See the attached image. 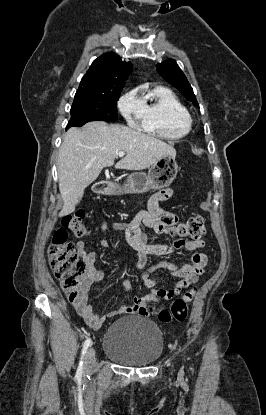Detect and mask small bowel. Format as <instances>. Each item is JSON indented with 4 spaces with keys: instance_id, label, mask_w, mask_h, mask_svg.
<instances>
[{
    "instance_id": "small-bowel-1",
    "label": "small bowel",
    "mask_w": 266,
    "mask_h": 415,
    "mask_svg": "<svg viewBox=\"0 0 266 415\" xmlns=\"http://www.w3.org/2000/svg\"><path fill=\"white\" fill-rule=\"evenodd\" d=\"M172 195L173 189L170 188L158 191L149 198L147 210L139 211L130 223L121 222L111 225L115 230H124L129 244L136 250V271L138 272L146 265L148 256L150 255L164 256L172 253L174 250L180 249L195 251L205 246V242L201 239H180L173 242L172 245L149 244L147 242L145 234L140 229L141 224L153 229L157 233H167L177 223L178 217L175 214L165 211L160 207V202L168 200ZM106 228L107 224L104 223L98 231L102 233ZM109 245V241L106 238L100 240L101 247L108 248ZM76 249L86 264V272L80 283L79 295L71 304L84 322L94 330L99 329L107 319L124 314L146 315L143 312V308L148 303H158L173 299L183 289L198 281L199 276L205 272L208 262L207 256L204 253H195L191 256L189 263L177 265L164 262L151 266L146 272L141 274L145 286L151 290L149 295L135 297L131 305H123L116 311L100 316L88 304V294L91 287L103 279V273L97 271L95 268L97 255L89 252L83 241L76 243ZM159 268L168 270L178 279L172 287L157 289L155 281L148 277L149 272ZM123 285L128 293L134 289L133 281L129 278L123 281Z\"/></svg>"
}]
</instances>
